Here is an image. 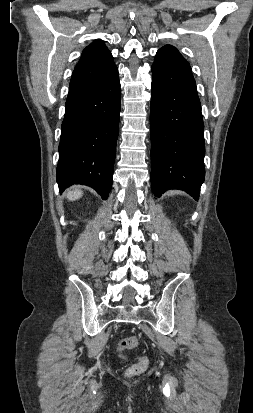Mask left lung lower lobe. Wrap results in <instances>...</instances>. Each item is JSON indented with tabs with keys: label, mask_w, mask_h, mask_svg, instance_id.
Returning a JSON list of instances; mask_svg holds the SVG:
<instances>
[{
	"label": "left lung lower lobe",
	"mask_w": 253,
	"mask_h": 413,
	"mask_svg": "<svg viewBox=\"0 0 253 413\" xmlns=\"http://www.w3.org/2000/svg\"><path fill=\"white\" fill-rule=\"evenodd\" d=\"M151 185L155 196L168 189L199 199L204 181V124L189 63L163 47L152 65Z\"/></svg>",
	"instance_id": "1"
}]
</instances>
